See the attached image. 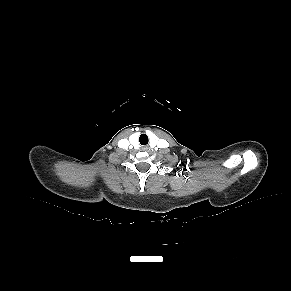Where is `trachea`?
Here are the masks:
<instances>
[{
	"instance_id": "1",
	"label": "trachea",
	"mask_w": 291,
	"mask_h": 291,
	"mask_svg": "<svg viewBox=\"0 0 291 291\" xmlns=\"http://www.w3.org/2000/svg\"><path fill=\"white\" fill-rule=\"evenodd\" d=\"M139 142L141 145L148 144V136L146 134H141L139 137Z\"/></svg>"
}]
</instances>
